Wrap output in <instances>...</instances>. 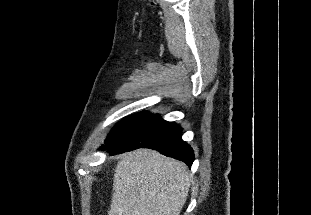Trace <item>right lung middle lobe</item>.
I'll use <instances>...</instances> for the list:
<instances>
[{"label": "right lung middle lobe", "mask_w": 311, "mask_h": 215, "mask_svg": "<svg viewBox=\"0 0 311 215\" xmlns=\"http://www.w3.org/2000/svg\"><path fill=\"white\" fill-rule=\"evenodd\" d=\"M150 113L142 112L130 116L120 121L111 131L110 135L106 139V144H114L123 139L133 128H135L142 120H144ZM107 146L102 145L101 149Z\"/></svg>", "instance_id": "obj_1"}]
</instances>
